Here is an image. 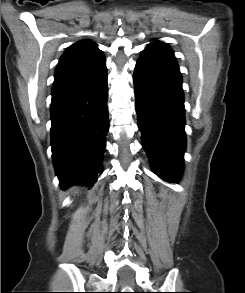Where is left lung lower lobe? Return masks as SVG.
Returning a JSON list of instances; mask_svg holds the SVG:
<instances>
[{"label":"left lung lower lobe","instance_id":"left-lung-lower-lobe-1","mask_svg":"<svg viewBox=\"0 0 245 293\" xmlns=\"http://www.w3.org/2000/svg\"><path fill=\"white\" fill-rule=\"evenodd\" d=\"M142 145L155 174L176 182L183 170L185 109L182 77L172 52L148 46L134 71Z\"/></svg>","mask_w":245,"mask_h":293}]
</instances>
